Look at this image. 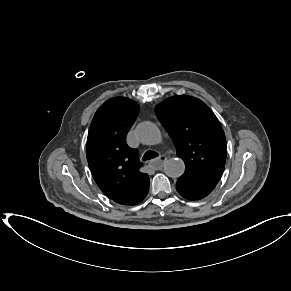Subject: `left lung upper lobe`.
Returning <instances> with one entry per match:
<instances>
[{
  "mask_svg": "<svg viewBox=\"0 0 291 291\" xmlns=\"http://www.w3.org/2000/svg\"><path fill=\"white\" fill-rule=\"evenodd\" d=\"M155 113L185 163L176 189L195 199L206 197L222 177L227 145L222 126L200 99L175 95L155 107Z\"/></svg>",
  "mask_w": 291,
  "mask_h": 291,
  "instance_id": "5c2ea615",
  "label": "left lung upper lobe"
}]
</instances>
